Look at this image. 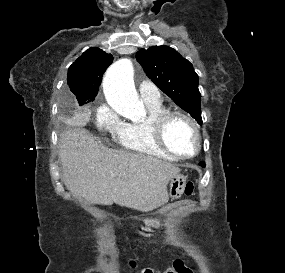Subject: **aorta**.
<instances>
[{"label":"aorta","instance_id":"762f6f07","mask_svg":"<svg viewBox=\"0 0 285 273\" xmlns=\"http://www.w3.org/2000/svg\"><path fill=\"white\" fill-rule=\"evenodd\" d=\"M133 65L122 58L112 64L103 79V91L108 104L119 114L129 118H141L146 114L143 102L136 93L133 81Z\"/></svg>","mask_w":285,"mask_h":273}]
</instances>
